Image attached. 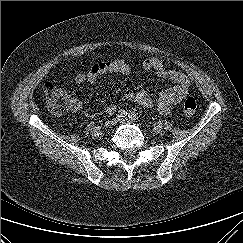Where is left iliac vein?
I'll return each mask as SVG.
<instances>
[{
    "label": "left iliac vein",
    "mask_w": 243,
    "mask_h": 243,
    "mask_svg": "<svg viewBox=\"0 0 243 243\" xmlns=\"http://www.w3.org/2000/svg\"><path fill=\"white\" fill-rule=\"evenodd\" d=\"M116 122H118V123H130V120H128V119L126 118V119H119V120H117Z\"/></svg>",
    "instance_id": "1"
}]
</instances>
